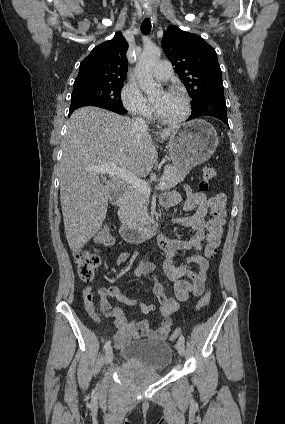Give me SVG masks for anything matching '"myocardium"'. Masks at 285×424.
<instances>
[{"instance_id":"f54148a6","label":"myocardium","mask_w":285,"mask_h":424,"mask_svg":"<svg viewBox=\"0 0 285 424\" xmlns=\"http://www.w3.org/2000/svg\"><path fill=\"white\" fill-rule=\"evenodd\" d=\"M169 93L177 94V95H179L183 98V100L185 102V112L183 113V115L181 117H179L177 119L169 120V119H165V118L161 117L159 115L157 109H155V117L163 125L177 126V125L184 123L190 117V115L192 113L191 99L186 92H184L183 90L178 89V88H171Z\"/></svg>"}]
</instances>
